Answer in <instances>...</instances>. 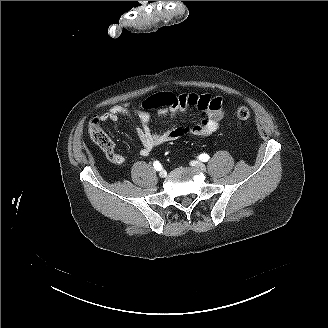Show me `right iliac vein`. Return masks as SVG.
<instances>
[{"label":"right iliac vein","instance_id":"obj_1","mask_svg":"<svg viewBox=\"0 0 328 328\" xmlns=\"http://www.w3.org/2000/svg\"><path fill=\"white\" fill-rule=\"evenodd\" d=\"M166 175H167V171H166V170H161L160 173H159V176H160L161 178H165Z\"/></svg>","mask_w":328,"mask_h":328}]
</instances>
